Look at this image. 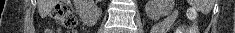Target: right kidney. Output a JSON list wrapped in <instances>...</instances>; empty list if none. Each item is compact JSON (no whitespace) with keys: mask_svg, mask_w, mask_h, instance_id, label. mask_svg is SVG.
I'll return each mask as SVG.
<instances>
[{"mask_svg":"<svg viewBox=\"0 0 235 33\" xmlns=\"http://www.w3.org/2000/svg\"><path fill=\"white\" fill-rule=\"evenodd\" d=\"M87 3H89L88 0H76L75 6L79 15L82 18H84L89 23H95L97 21L100 11L95 9L92 12H88L87 10H85V6L87 5Z\"/></svg>","mask_w":235,"mask_h":33,"instance_id":"1","label":"right kidney"}]
</instances>
